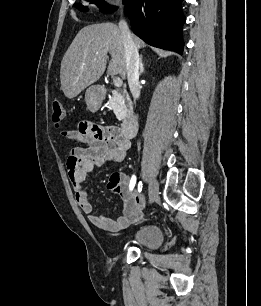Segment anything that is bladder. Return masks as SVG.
<instances>
[{
  "label": "bladder",
  "instance_id": "1",
  "mask_svg": "<svg viewBox=\"0 0 261 306\" xmlns=\"http://www.w3.org/2000/svg\"><path fill=\"white\" fill-rule=\"evenodd\" d=\"M163 241V232L158 225L149 224L141 227L133 237V242L148 251L159 248Z\"/></svg>",
  "mask_w": 261,
  "mask_h": 306
}]
</instances>
